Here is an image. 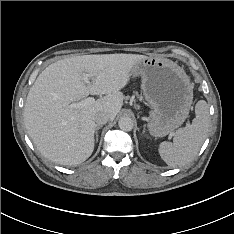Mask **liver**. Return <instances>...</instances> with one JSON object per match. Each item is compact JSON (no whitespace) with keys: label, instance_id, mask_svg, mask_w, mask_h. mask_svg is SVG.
Returning a JSON list of instances; mask_svg holds the SVG:
<instances>
[{"label":"liver","instance_id":"1","mask_svg":"<svg viewBox=\"0 0 234 234\" xmlns=\"http://www.w3.org/2000/svg\"><path fill=\"white\" fill-rule=\"evenodd\" d=\"M147 58L137 54L73 56L43 70L30 88L24 106V123L37 150L60 165H77L94 150L95 114L106 111L114 119L122 108L120 92L133 66ZM83 74L91 82L85 84ZM91 95L103 98L81 109L70 103Z\"/></svg>","mask_w":234,"mask_h":234}]
</instances>
